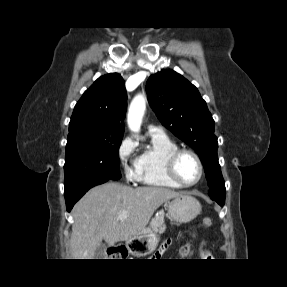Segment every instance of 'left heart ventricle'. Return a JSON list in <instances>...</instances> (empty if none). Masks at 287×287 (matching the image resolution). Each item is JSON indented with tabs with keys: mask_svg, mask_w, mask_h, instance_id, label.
<instances>
[{
	"mask_svg": "<svg viewBox=\"0 0 287 287\" xmlns=\"http://www.w3.org/2000/svg\"><path fill=\"white\" fill-rule=\"evenodd\" d=\"M177 173L182 182L193 183L199 176L198 164L192 156L182 155L177 162Z\"/></svg>",
	"mask_w": 287,
	"mask_h": 287,
	"instance_id": "obj_1",
	"label": "left heart ventricle"
}]
</instances>
